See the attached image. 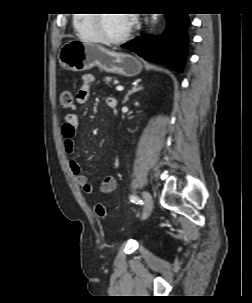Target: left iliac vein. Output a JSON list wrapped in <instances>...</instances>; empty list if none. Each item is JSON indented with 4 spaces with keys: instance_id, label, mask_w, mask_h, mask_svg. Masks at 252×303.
<instances>
[{
    "instance_id": "left-iliac-vein-1",
    "label": "left iliac vein",
    "mask_w": 252,
    "mask_h": 303,
    "mask_svg": "<svg viewBox=\"0 0 252 303\" xmlns=\"http://www.w3.org/2000/svg\"><path fill=\"white\" fill-rule=\"evenodd\" d=\"M142 197H143V200L145 203V210L143 212L142 218L146 219L151 214L153 207H154V203H153L152 196L147 191H144L142 193Z\"/></svg>"
}]
</instances>
